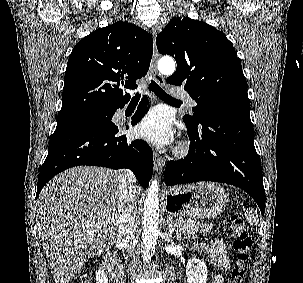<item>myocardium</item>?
<instances>
[{
    "label": "myocardium",
    "mask_w": 303,
    "mask_h": 283,
    "mask_svg": "<svg viewBox=\"0 0 303 283\" xmlns=\"http://www.w3.org/2000/svg\"><path fill=\"white\" fill-rule=\"evenodd\" d=\"M184 153V150L182 149L181 151H180V154H183Z\"/></svg>",
    "instance_id": "f54148a6"
}]
</instances>
